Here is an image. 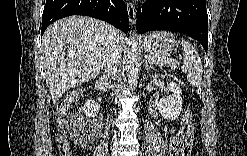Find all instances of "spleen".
<instances>
[{
  "label": "spleen",
  "instance_id": "1",
  "mask_svg": "<svg viewBox=\"0 0 247 156\" xmlns=\"http://www.w3.org/2000/svg\"><path fill=\"white\" fill-rule=\"evenodd\" d=\"M184 53V66L190 85L199 86L202 80L203 66L197 50L187 41L182 40Z\"/></svg>",
  "mask_w": 247,
  "mask_h": 156
}]
</instances>
